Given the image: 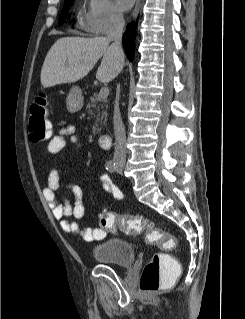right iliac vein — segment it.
<instances>
[{
    "label": "right iliac vein",
    "instance_id": "63e3f726",
    "mask_svg": "<svg viewBox=\"0 0 245 319\" xmlns=\"http://www.w3.org/2000/svg\"><path fill=\"white\" fill-rule=\"evenodd\" d=\"M117 167H118V171H119V172H122V171L125 169V163L119 162V163L117 164Z\"/></svg>",
    "mask_w": 245,
    "mask_h": 319
}]
</instances>
